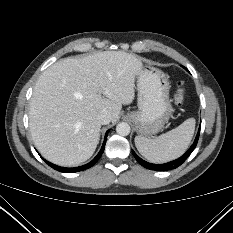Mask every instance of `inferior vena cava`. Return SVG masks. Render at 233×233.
Here are the masks:
<instances>
[{
  "label": "inferior vena cava",
  "mask_w": 233,
  "mask_h": 233,
  "mask_svg": "<svg viewBox=\"0 0 233 233\" xmlns=\"http://www.w3.org/2000/svg\"><path fill=\"white\" fill-rule=\"evenodd\" d=\"M98 120L100 124L106 125L110 123L111 116L108 112L104 111L98 115Z\"/></svg>",
  "instance_id": "obj_1"
}]
</instances>
